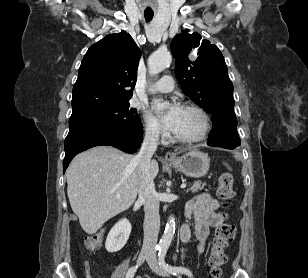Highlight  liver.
I'll list each match as a JSON object with an SVG mask.
<instances>
[{
	"label": "liver",
	"mask_w": 308,
	"mask_h": 278,
	"mask_svg": "<svg viewBox=\"0 0 308 278\" xmlns=\"http://www.w3.org/2000/svg\"><path fill=\"white\" fill-rule=\"evenodd\" d=\"M135 156L110 146H97L78 154L66 171L67 194L82 229L96 233L115 215L133 205L138 193ZM159 172L152 160L150 173ZM120 196L117 199L116 196Z\"/></svg>",
	"instance_id": "1"
}]
</instances>
